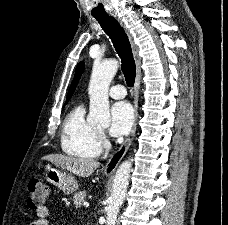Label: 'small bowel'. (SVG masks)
Returning <instances> with one entry per match:
<instances>
[{"label":"small bowel","mask_w":228,"mask_h":225,"mask_svg":"<svg viewBox=\"0 0 228 225\" xmlns=\"http://www.w3.org/2000/svg\"><path fill=\"white\" fill-rule=\"evenodd\" d=\"M36 216L38 218L37 221L31 223V225H49L48 216H49V209L47 206H43L36 211Z\"/></svg>","instance_id":"1"}]
</instances>
